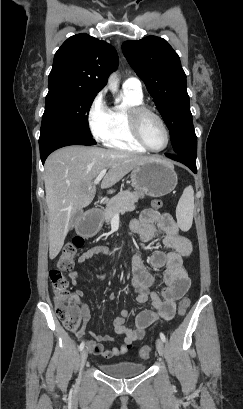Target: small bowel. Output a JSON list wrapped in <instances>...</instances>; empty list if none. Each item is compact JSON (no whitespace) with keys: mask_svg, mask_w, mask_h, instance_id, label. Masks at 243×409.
I'll list each match as a JSON object with an SVG mask.
<instances>
[{"mask_svg":"<svg viewBox=\"0 0 243 409\" xmlns=\"http://www.w3.org/2000/svg\"><path fill=\"white\" fill-rule=\"evenodd\" d=\"M131 230L143 242L149 241L156 234H163V244L169 251H155L150 256V265L153 269L165 267L164 283L159 289V294L153 292L151 290L154 283L153 276L144 266L140 254L138 252L133 254L130 266L133 274L132 286L137 292L136 301L142 304L150 300L153 309L140 311L135 318L134 328L125 324V321L130 317V311L126 308L120 310L119 315L113 319L115 333L124 336L119 347L105 349L102 343L113 341L112 336L87 333L93 336L92 340L87 341L88 349L95 355H100L106 359L120 356L131 350L133 343L142 340L147 328L154 322L170 321L174 316L175 302L185 295L191 284V280L183 268V261L191 255L192 244L180 233L178 224L170 213H160L152 209L144 210L138 219L131 222ZM109 253L110 249L106 246H93L79 256L78 262L83 264L98 255ZM69 278L73 286L79 284L78 271H71ZM97 278L103 280L105 275L100 273ZM83 296L82 289H77L73 293V298L76 301H80ZM113 298V296L109 297L110 300ZM81 310L82 327L78 330L77 336L82 338L86 334L85 328L90 322V315L86 305H82Z\"/></svg>","mask_w":243,"mask_h":409,"instance_id":"obj_1","label":"small bowel"}]
</instances>
